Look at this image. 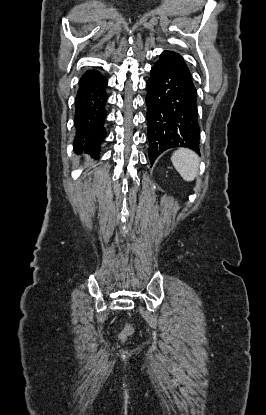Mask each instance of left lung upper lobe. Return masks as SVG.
I'll use <instances>...</instances> for the list:
<instances>
[{"instance_id": "5c2ea615", "label": "left lung upper lobe", "mask_w": 266, "mask_h": 415, "mask_svg": "<svg viewBox=\"0 0 266 415\" xmlns=\"http://www.w3.org/2000/svg\"><path fill=\"white\" fill-rule=\"evenodd\" d=\"M164 53H165L167 56H169L170 58H172V59H174L175 61H177V62H178L181 66H183V67L185 68V70L187 71V73L189 74V76H190L191 80H192L190 70H189V68L187 67V65H186V63H185V61H184V59H183V58H182L179 54H177V53H175V52H171V51H164Z\"/></svg>"}]
</instances>
